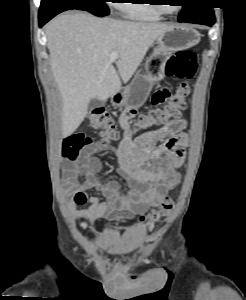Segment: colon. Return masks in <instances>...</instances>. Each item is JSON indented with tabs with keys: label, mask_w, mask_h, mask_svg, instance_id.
<instances>
[{
	"label": "colon",
	"mask_w": 246,
	"mask_h": 300,
	"mask_svg": "<svg viewBox=\"0 0 246 300\" xmlns=\"http://www.w3.org/2000/svg\"><path fill=\"white\" fill-rule=\"evenodd\" d=\"M197 72V56L190 50H183L173 55L165 65V75L178 79L190 80L194 78ZM190 94V85L184 82L179 85L174 94L168 95L162 92H156L152 97V103L155 105L152 109L141 113L133 122L134 130H143L155 124L172 122L164 126L159 132L147 135L139 139L135 144L138 146L144 142L153 141L157 138L169 136L180 124L178 120L181 111L186 108L185 99ZM88 125L100 131L104 143L118 140L121 136L116 128L113 118L104 108L92 110L88 117ZM86 145V138L82 134H75L68 138L63 145V154L66 157L75 159L79 156L80 150ZM174 208V200L166 196L160 205L146 215L141 217L143 222L150 224L159 223L166 218Z\"/></svg>",
	"instance_id": "1"
}]
</instances>
